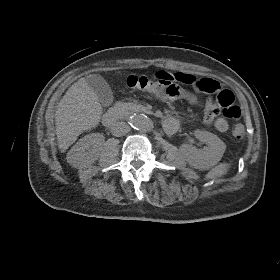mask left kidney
Here are the masks:
<instances>
[{
	"instance_id": "5707ae66",
	"label": "left kidney",
	"mask_w": 280,
	"mask_h": 280,
	"mask_svg": "<svg viewBox=\"0 0 280 280\" xmlns=\"http://www.w3.org/2000/svg\"><path fill=\"white\" fill-rule=\"evenodd\" d=\"M196 138L201 142L206 143L208 147L203 149H197L195 146L189 144H183L180 149L187 158L190 165L195 168H200L202 165L207 163H212L218 160L225 151L224 142L218 138L213 133L208 131L196 130L194 132ZM225 166V164H220V170Z\"/></svg>"
}]
</instances>
